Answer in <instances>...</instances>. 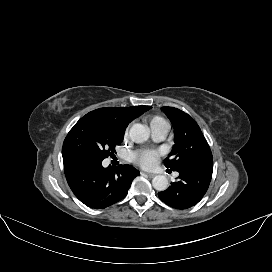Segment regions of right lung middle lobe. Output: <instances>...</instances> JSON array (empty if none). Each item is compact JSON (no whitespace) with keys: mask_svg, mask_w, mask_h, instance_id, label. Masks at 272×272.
Here are the masks:
<instances>
[{"mask_svg":"<svg viewBox=\"0 0 272 272\" xmlns=\"http://www.w3.org/2000/svg\"><path fill=\"white\" fill-rule=\"evenodd\" d=\"M125 129L115 121L89 112L67 134L62 148L63 161H89L101 163L114 154Z\"/></svg>","mask_w":272,"mask_h":272,"instance_id":"obj_1","label":"right lung middle lobe"}]
</instances>
